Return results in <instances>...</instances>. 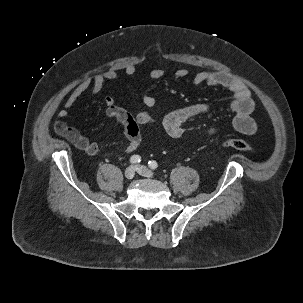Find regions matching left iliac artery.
Here are the masks:
<instances>
[{
    "label": "left iliac artery",
    "instance_id": "1",
    "mask_svg": "<svg viewBox=\"0 0 303 303\" xmlns=\"http://www.w3.org/2000/svg\"><path fill=\"white\" fill-rule=\"evenodd\" d=\"M148 166H149L151 169L154 170V169H156V168L158 167V164H157L156 161L151 160V161L148 162Z\"/></svg>",
    "mask_w": 303,
    "mask_h": 303
}]
</instances>
